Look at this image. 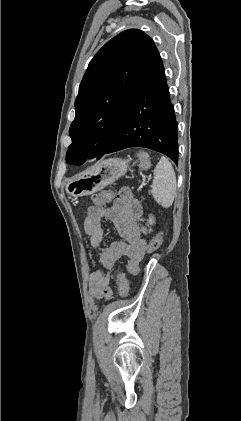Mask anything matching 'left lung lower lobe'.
Wrapping results in <instances>:
<instances>
[{
    "label": "left lung lower lobe",
    "instance_id": "0a47b994",
    "mask_svg": "<svg viewBox=\"0 0 241 421\" xmlns=\"http://www.w3.org/2000/svg\"><path fill=\"white\" fill-rule=\"evenodd\" d=\"M130 147L158 151L178 163V124L156 47L143 70L119 133L106 153Z\"/></svg>",
    "mask_w": 241,
    "mask_h": 421
}]
</instances>
